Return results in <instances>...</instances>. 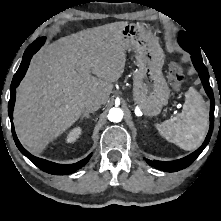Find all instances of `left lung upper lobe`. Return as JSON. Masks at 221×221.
<instances>
[{
  "mask_svg": "<svg viewBox=\"0 0 221 221\" xmlns=\"http://www.w3.org/2000/svg\"><path fill=\"white\" fill-rule=\"evenodd\" d=\"M178 42L180 46L190 54L202 57L199 46L188 32L180 31Z\"/></svg>",
  "mask_w": 221,
  "mask_h": 221,
  "instance_id": "5c2ea615",
  "label": "left lung upper lobe"
}]
</instances>
